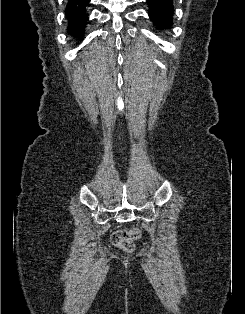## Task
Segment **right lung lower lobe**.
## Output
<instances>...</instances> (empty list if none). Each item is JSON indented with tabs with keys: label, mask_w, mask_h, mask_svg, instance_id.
<instances>
[{
	"label": "right lung lower lobe",
	"mask_w": 245,
	"mask_h": 314,
	"mask_svg": "<svg viewBox=\"0 0 245 314\" xmlns=\"http://www.w3.org/2000/svg\"><path fill=\"white\" fill-rule=\"evenodd\" d=\"M89 2L90 0H68L65 9L66 18L68 20V32L78 37L80 41L83 39V33L88 21L86 7Z\"/></svg>",
	"instance_id": "right-lung-lower-lobe-1"
}]
</instances>
